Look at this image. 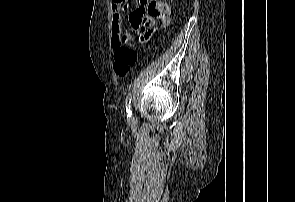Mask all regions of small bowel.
Instances as JSON below:
<instances>
[{
    "label": "small bowel",
    "instance_id": "c3829d8e",
    "mask_svg": "<svg viewBox=\"0 0 295 202\" xmlns=\"http://www.w3.org/2000/svg\"><path fill=\"white\" fill-rule=\"evenodd\" d=\"M129 9L128 0H112V39L114 48L122 44L121 22L125 11ZM171 14V5L166 1L139 0L138 5L130 11L128 20L131 27L140 33L142 38L148 37L154 28L156 21L167 22Z\"/></svg>",
    "mask_w": 295,
    "mask_h": 202
}]
</instances>
